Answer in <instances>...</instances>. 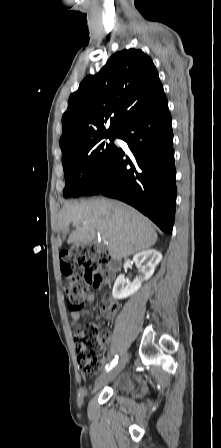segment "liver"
I'll return each mask as SVG.
<instances>
[{
	"label": "liver",
	"mask_w": 221,
	"mask_h": 448,
	"mask_svg": "<svg viewBox=\"0 0 221 448\" xmlns=\"http://www.w3.org/2000/svg\"><path fill=\"white\" fill-rule=\"evenodd\" d=\"M71 224L75 230L70 232L68 244L90 243L98 231L103 241L107 242L109 254L114 259L127 258L144 251L157 241V233L145 216L115 200L95 199L66 204L58 216V227L63 238Z\"/></svg>",
	"instance_id": "6515ba94"
}]
</instances>
